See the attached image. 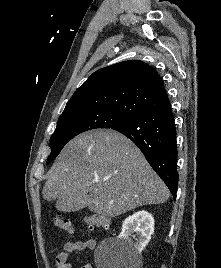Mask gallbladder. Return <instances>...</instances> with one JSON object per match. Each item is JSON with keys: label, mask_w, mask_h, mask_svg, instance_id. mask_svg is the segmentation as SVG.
<instances>
[{"label": "gallbladder", "mask_w": 221, "mask_h": 268, "mask_svg": "<svg viewBox=\"0 0 221 268\" xmlns=\"http://www.w3.org/2000/svg\"><path fill=\"white\" fill-rule=\"evenodd\" d=\"M86 199H59L56 207L60 213L76 212L85 208Z\"/></svg>", "instance_id": "gallbladder-1"}]
</instances>
